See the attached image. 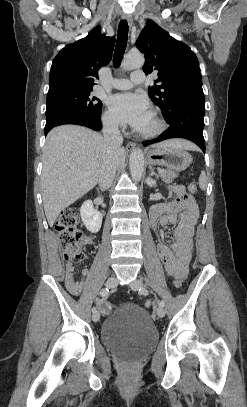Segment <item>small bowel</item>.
Returning a JSON list of instances; mask_svg holds the SVG:
<instances>
[{
    "label": "small bowel",
    "mask_w": 247,
    "mask_h": 407,
    "mask_svg": "<svg viewBox=\"0 0 247 407\" xmlns=\"http://www.w3.org/2000/svg\"><path fill=\"white\" fill-rule=\"evenodd\" d=\"M172 190L176 198L171 202L153 206L150 210V221L157 232L168 225H175L174 241L166 244L159 239L157 250L167 274L183 280L188 274L192 257L194 227L199 217V209L195 200L185 193L183 187L175 186ZM85 242L90 243V238ZM65 270V284L69 292L73 295L81 293L89 270L84 268L81 271L82 281L80 282L75 280L74 266L71 262L66 264ZM96 304L102 309L106 306L103 299H98Z\"/></svg>",
    "instance_id": "obj_1"
}]
</instances>
